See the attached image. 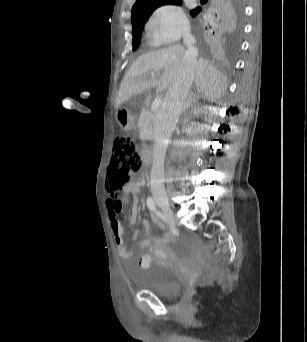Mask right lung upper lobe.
Listing matches in <instances>:
<instances>
[{
    "mask_svg": "<svg viewBox=\"0 0 307 342\" xmlns=\"http://www.w3.org/2000/svg\"><path fill=\"white\" fill-rule=\"evenodd\" d=\"M201 7L191 11L193 17L197 16L198 25L202 35L212 41L219 42L228 34L239 6L237 0H201ZM164 4H181V0H136L132 7V34L141 33L145 22L151 13Z\"/></svg>",
    "mask_w": 307,
    "mask_h": 342,
    "instance_id": "cb5924a9",
    "label": "right lung upper lobe"
}]
</instances>
